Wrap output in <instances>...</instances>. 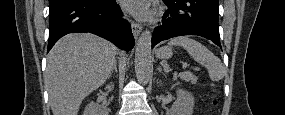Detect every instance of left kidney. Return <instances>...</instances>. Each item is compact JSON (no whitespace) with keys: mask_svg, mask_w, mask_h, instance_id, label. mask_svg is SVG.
Instances as JSON below:
<instances>
[{"mask_svg":"<svg viewBox=\"0 0 285 115\" xmlns=\"http://www.w3.org/2000/svg\"><path fill=\"white\" fill-rule=\"evenodd\" d=\"M194 96L182 89L177 90V99L167 115H192Z\"/></svg>","mask_w":285,"mask_h":115,"instance_id":"left-kidney-1","label":"left kidney"}]
</instances>
